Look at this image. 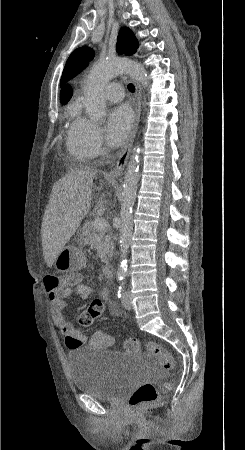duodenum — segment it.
<instances>
[{
    "label": "duodenum",
    "mask_w": 245,
    "mask_h": 450,
    "mask_svg": "<svg viewBox=\"0 0 245 450\" xmlns=\"http://www.w3.org/2000/svg\"><path fill=\"white\" fill-rule=\"evenodd\" d=\"M114 272H115V269H114V264L112 262L107 263V264L104 265V267H103V274L104 275H107L109 277H113L114 276Z\"/></svg>",
    "instance_id": "duodenum-1"
}]
</instances>
